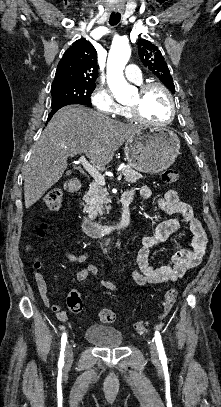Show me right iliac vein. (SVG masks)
<instances>
[{"instance_id":"63e3f726","label":"right iliac vein","mask_w":221,"mask_h":407,"mask_svg":"<svg viewBox=\"0 0 221 407\" xmlns=\"http://www.w3.org/2000/svg\"><path fill=\"white\" fill-rule=\"evenodd\" d=\"M73 361V347L71 343H68L65 349V362L71 364Z\"/></svg>"}]
</instances>
